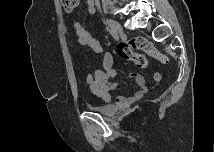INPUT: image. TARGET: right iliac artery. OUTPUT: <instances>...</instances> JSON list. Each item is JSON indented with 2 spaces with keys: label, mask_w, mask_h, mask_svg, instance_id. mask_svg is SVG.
Masks as SVG:
<instances>
[{
  "label": "right iliac artery",
  "mask_w": 215,
  "mask_h": 152,
  "mask_svg": "<svg viewBox=\"0 0 215 152\" xmlns=\"http://www.w3.org/2000/svg\"><path fill=\"white\" fill-rule=\"evenodd\" d=\"M108 31L116 40H118V35L115 32H113L111 29H108Z\"/></svg>",
  "instance_id": "obj_1"
}]
</instances>
